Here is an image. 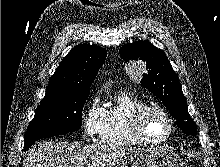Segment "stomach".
<instances>
[{
    "label": "stomach",
    "mask_w": 220,
    "mask_h": 167,
    "mask_svg": "<svg viewBox=\"0 0 220 167\" xmlns=\"http://www.w3.org/2000/svg\"><path fill=\"white\" fill-rule=\"evenodd\" d=\"M116 167H186L183 160L161 148H129Z\"/></svg>",
    "instance_id": "stomach-1"
}]
</instances>
